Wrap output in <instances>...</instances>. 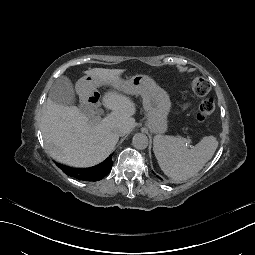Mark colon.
<instances>
[{"label": "colon", "mask_w": 255, "mask_h": 255, "mask_svg": "<svg viewBox=\"0 0 255 255\" xmlns=\"http://www.w3.org/2000/svg\"><path fill=\"white\" fill-rule=\"evenodd\" d=\"M193 92L198 96H205L210 91L209 82L202 77H195L191 81ZM215 110V103L212 99H205L200 103L197 117L203 121L210 118Z\"/></svg>", "instance_id": "1"}]
</instances>
